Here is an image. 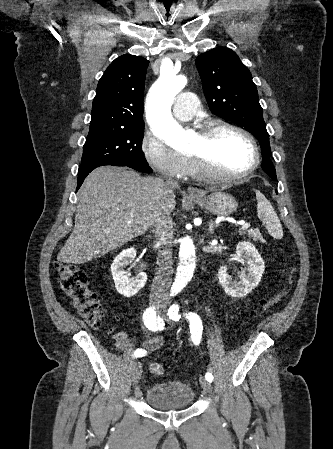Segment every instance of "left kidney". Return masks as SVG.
I'll list each match as a JSON object with an SVG mask.
<instances>
[{"label": "left kidney", "mask_w": 333, "mask_h": 449, "mask_svg": "<svg viewBox=\"0 0 333 449\" xmlns=\"http://www.w3.org/2000/svg\"><path fill=\"white\" fill-rule=\"evenodd\" d=\"M236 257L237 261L247 263L248 272H241L239 281H235L232 275L227 272V267L221 266L218 272V280L228 295L244 297L259 284L265 265L256 247L248 241H242L237 245Z\"/></svg>", "instance_id": "5707ae66"}]
</instances>
